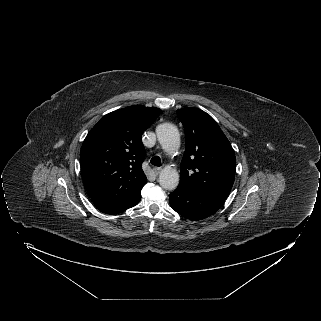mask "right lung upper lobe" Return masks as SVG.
Here are the masks:
<instances>
[{
    "instance_id": "right-lung-upper-lobe-1",
    "label": "right lung upper lobe",
    "mask_w": 321,
    "mask_h": 321,
    "mask_svg": "<svg viewBox=\"0 0 321 321\" xmlns=\"http://www.w3.org/2000/svg\"><path fill=\"white\" fill-rule=\"evenodd\" d=\"M156 107L129 106L105 115L86 136L80 165L95 206L116 214L135 206L147 178L142 170V133L160 115Z\"/></svg>"
}]
</instances>
